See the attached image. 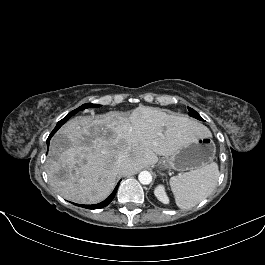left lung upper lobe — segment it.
I'll return each instance as SVG.
<instances>
[{
  "label": "left lung upper lobe",
  "instance_id": "obj_1",
  "mask_svg": "<svg viewBox=\"0 0 265 265\" xmlns=\"http://www.w3.org/2000/svg\"><path fill=\"white\" fill-rule=\"evenodd\" d=\"M189 110V115L198 119V120H203L202 117L192 108L188 107Z\"/></svg>",
  "mask_w": 265,
  "mask_h": 265
}]
</instances>
